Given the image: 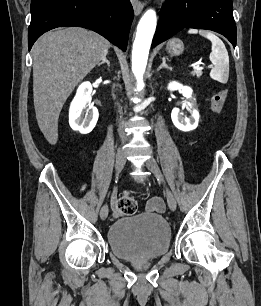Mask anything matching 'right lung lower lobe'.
Wrapping results in <instances>:
<instances>
[{
	"mask_svg": "<svg viewBox=\"0 0 261 306\" xmlns=\"http://www.w3.org/2000/svg\"><path fill=\"white\" fill-rule=\"evenodd\" d=\"M133 17L129 0H32L28 47L46 31L78 26L99 33L125 51Z\"/></svg>",
	"mask_w": 261,
	"mask_h": 306,
	"instance_id": "right-lung-lower-lobe-1",
	"label": "right lung lower lobe"
}]
</instances>
